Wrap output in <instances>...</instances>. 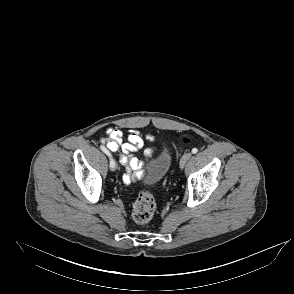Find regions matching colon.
I'll list each match as a JSON object with an SVG mask.
<instances>
[{
    "label": "colon",
    "instance_id": "colon-1",
    "mask_svg": "<svg viewBox=\"0 0 294 294\" xmlns=\"http://www.w3.org/2000/svg\"><path fill=\"white\" fill-rule=\"evenodd\" d=\"M185 143L189 142V139H184ZM156 210V202L152 193L149 190H142L133 205L132 217L137 224H146L154 216Z\"/></svg>",
    "mask_w": 294,
    "mask_h": 294
}]
</instances>
